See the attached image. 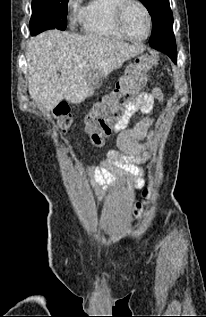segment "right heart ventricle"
Returning <instances> with one entry per match:
<instances>
[{
    "label": "right heart ventricle",
    "instance_id": "e07e8e85",
    "mask_svg": "<svg viewBox=\"0 0 206 317\" xmlns=\"http://www.w3.org/2000/svg\"><path fill=\"white\" fill-rule=\"evenodd\" d=\"M121 0H88L79 10L83 31L112 40L123 37L114 26V9Z\"/></svg>",
    "mask_w": 206,
    "mask_h": 317
}]
</instances>
